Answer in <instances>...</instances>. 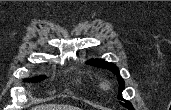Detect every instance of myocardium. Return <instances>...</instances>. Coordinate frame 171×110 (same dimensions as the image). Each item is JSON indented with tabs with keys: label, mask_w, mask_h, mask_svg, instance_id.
<instances>
[{
	"label": "myocardium",
	"mask_w": 171,
	"mask_h": 110,
	"mask_svg": "<svg viewBox=\"0 0 171 110\" xmlns=\"http://www.w3.org/2000/svg\"><path fill=\"white\" fill-rule=\"evenodd\" d=\"M103 87H104V88H107V84H104Z\"/></svg>",
	"instance_id": "myocardium-1"
}]
</instances>
